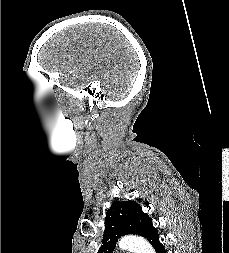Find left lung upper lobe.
I'll list each match as a JSON object with an SVG mask.
<instances>
[{
  "label": "left lung upper lobe",
  "instance_id": "left-lung-upper-lobe-1",
  "mask_svg": "<svg viewBox=\"0 0 229 253\" xmlns=\"http://www.w3.org/2000/svg\"><path fill=\"white\" fill-rule=\"evenodd\" d=\"M124 234L142 236L152 245L159 241L151 218L136 201H118L107 210L102 245L97 253H113L118 238Z\"/></svg>",
  "mask_w": 229,
  "mask_h": 253
}]
</instances>
